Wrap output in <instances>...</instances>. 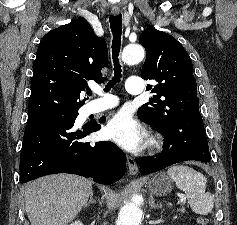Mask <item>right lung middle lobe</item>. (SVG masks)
Masks as SVG:
<instances>
[{
    "label": "right lung middle lobe",
    "mask_w": 237,
    "mask_h": 225,
    "mask_svg": "<svg viewBox=\"0 0 237 225\" xmlns=\"http://www.w3.org/2000/svg\"><path fill=\"white\" fill-rule=\"evenodd\" d=\"M75 113H77V112L68 113V114H66V115H73V114H75ZM63 115H65V114H63Z\"/></svg>",
    "instance_id": "obj_1"
}]
</instances>
